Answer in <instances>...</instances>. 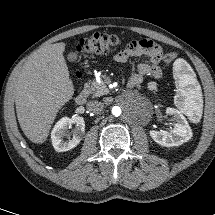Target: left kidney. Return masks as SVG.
<instances>
[{"label": "left kidney", "mask_w": 215, "mask_h": 215, "mask_svg": "<svg viewBox=\"0 0 215 215\" xmlns=\"http://www.w3.org/2000/svg\"><path fill=\"white\" fill-rule=\"evenodd\" d=\"M166 113L173 115V120L176 122L172 133L150 130L149 134L152 139L157 144L165 147L179 146L189 141L192 138L193 133L183 114L171 107L166 109Z\"/></svg>", "instance_id": "left-kidney-1"}]
</instances>
